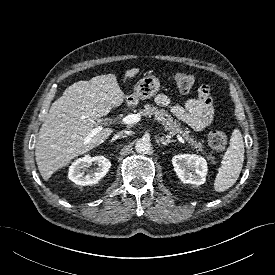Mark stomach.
<instances>
[{"label": "stomach", "mask_w": 275, "mask_h": 275, "mask_svg": "<svg viewBox=\"0 0 275 275\" xmlns=\"http://www.w3.org/2000/svg\"><path fill=\"white\" fill-rule=\"evenodd\" d=\"M160 82L152 74L144 75L137 84L134 86L133 94L127 96V102L129 104H137L138 100L150 99L155 96L159 91Z\"/></svg>", "instance_id": "0dacf381"}]
</instances>
